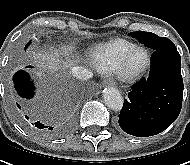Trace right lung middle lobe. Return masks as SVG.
Masks as SVG:
<instances>
[{
  "label": "right lung middle lobe",
  "mask_w": 190,
  "mask_h": 165,
  "mask_svg": "<svg viewBox=\"0 0 190 165\" xmlns=\"http://www.w3.org/2000/svg\"><path fill=\"white\" fill-rule=\"evenodd\" d=\"M28 44H30V42H29ZM28 44L25 46V50H26V48H27Z\"/></svg>",
  "instance_id": "right-lung-middle-lobe-1"
}]
</instances>
